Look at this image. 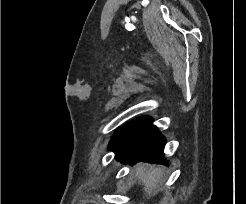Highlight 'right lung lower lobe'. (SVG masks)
<instances>
[{
    "label": "right lung lower lobe",
    "mask_w": 246,
    "mask_h": 204,
    "mask_svg": "<svg viewBox=\"0 0 246 204\" xmlns=\"http://www.w3.org/2000/svg\"><path fill=\"white\" fill-rule=\"evenodd\" d=\"M164 146L165 138L152 125V118L139 117L120 128L112 150L116 160L124 163L147 161L168 165L164 158Z\"/></svg>",
    "instance_id": "obj_1"
}]
</instances>
